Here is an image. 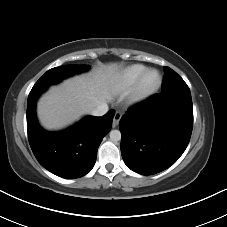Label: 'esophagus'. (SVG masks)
Listing matches in <instances>:
<instances>
[{
  "label": "esophagus",
  "instance_id": "34e87169",
  "mask_svg": "<svg viewBox=\"0 0 227 227\" xmlns=\"http://www.w3.org/2000/svg\"><path fill=\"white\" fill-rule=\"evenodd\" d=\"M120 119H121V113L116 112L113 119V127H116L119 124Z\"/></svg>",
  "mask_w": 227,
  "mask_h": 227
}]
</instances>
